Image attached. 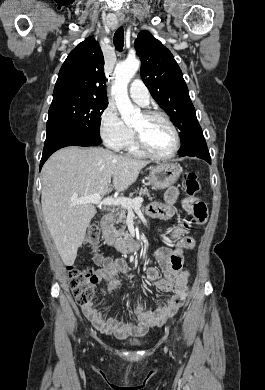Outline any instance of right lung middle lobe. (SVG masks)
<instances>
[{
    "instance_id": "1",
    "label": "right lung middle lobe",
    "mask_w": 265,
    "mask_h": 390,
    "mask_svg": "<svg viewBox=\"0 0 265 390\" xmlns=\"http://www.w3.org/2000/svg\"><path fill=\"white\" fill-rule=\"evenodd\" d=\"M108 101L93 98H63L53 100L48 112L47 130L68 127L100 138V116Z\"/></svg>"
}]
</instances>
